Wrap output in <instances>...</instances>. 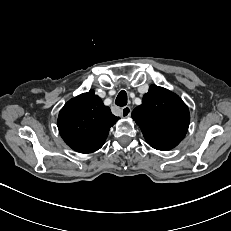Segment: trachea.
Here are the masks:
<instances>
[{
	"instance_id": "trachea-1",
	"label": "trachea",
	"mask_w": 231,
	"mask_h": 231,
	"mask_svg": "<svg viewBox=\"0 0 231 231\" xmlns=\"http://www.w3.org/2000/svg\"><path fill=\"white\" fill-rule=\"evenodd\" d=\"M115 104L120 106V107H123L127 104V93L124 90L119 92V94L115 100Z\"/></svg>"
}]
</instances>
